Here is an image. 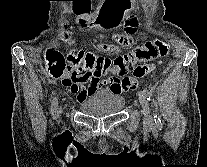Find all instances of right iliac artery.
Returning a JSON list of instances; mask_svg holds the SVG:
<instances>
[{
	"label": "right iliac artery",
	"instance_id": "1",
	"mask_svg": "<svg viewBox=\"0 0 207 167\" xmlns=\"http://www.w3.org/2000/svg\"><path fill=\"white\" fill-rule=\"evenodd\" d=\"M51 112L54 119L58 117V101L57 98H54L51 105Z\"/></svg>",
	"mask_w": 207,
	"mask_h": 167
}]
</instances>
